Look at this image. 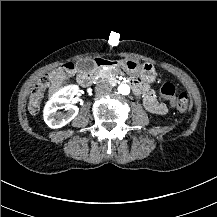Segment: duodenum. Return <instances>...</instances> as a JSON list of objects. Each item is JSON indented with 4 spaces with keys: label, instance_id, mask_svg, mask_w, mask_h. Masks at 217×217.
I'll list each match as a JSON object with an SVG mask.
<instances>
[{
    "label": "duodenum",
    "instance_id": "410a0bca",
    "mask_svg": "<svg viewBox=\"0 0 217 217\" xmlns=\"http://www.w3.org/2000/svg\"><path fill=\"white\" fill-rule=\"evenodd\" d=\"M119 62L117 60H110V59H105V58H96L94 60V66L95 67H116L118 66ZM93 80V75L92 74H86L83 76L82 81L85 84L91 83ZM133 88H138V83L136 81L131 82Z\"/></svg>",
    "mask_w": 217,
    "mask_h": 217
}]
</instances>
